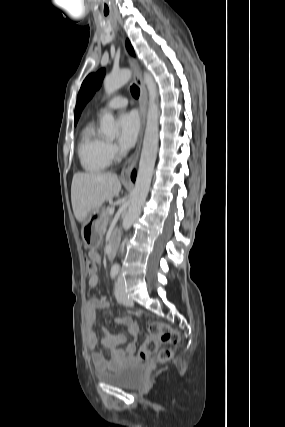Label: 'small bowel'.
Masks as SVG:
<instances>
[{
    "instance_id": "small-bowel-1",
    "label": "small bowel",
    "mask_w": 285,
    "mask_h": 427,
    "mask_svg": "<svg viewBox=\"0 0 285 427\" xmlns=\"http://www.w3.org/2000/svg\"><path fill=\"white\" fill-rule=\"evenodd\" d=\"M90 258L95 262L101 261L100 255L97 252H91ZM90 288H95L98 285L96 277L88 281ZM113 306L111 301L98 298H91L88 301L85 310V337L86 343L91 352V360L96 370L104 371L109 368H116L127 365L134 358L136 353V343L128 344L124 349L120 346L126 341V335L123 333H113L106 327L102 329L101 344L108 351L110 358L106 359L103 354L96 350L98 345V337L95 332V323L97 320V312L100 309ZM116 322L125 327L127 334L136 337L139 332L138 325L130 317L117 318Z\"/></svg>"
}]
</instances>
